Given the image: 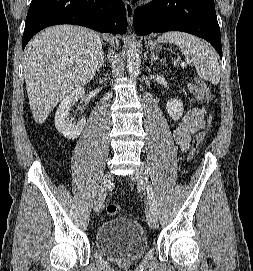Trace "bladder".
<instances>
[{"label":"bladder","instance_id":"31cf9c89","mask_svg":"<svg viewBox=\"0 0 253 271\" xmlns=\"http://www.w3.org/2000/svg\"><path fill=\"white\" fill-rule=\"evenodd\" d=\"M94 239L97 250L115 262L137 260L148 248L144 228L130 218H115L102 223Z\"/></svg>","mask_w":253,"mask_h":271}]
</instances>
